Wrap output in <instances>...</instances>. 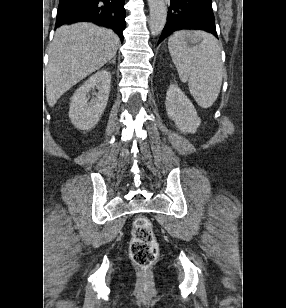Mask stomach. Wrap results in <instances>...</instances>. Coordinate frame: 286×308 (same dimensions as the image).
<instances>
[{"mask_svg": "<svg viewBox=\"0 0 286 308\" xmlns=\"http://www.w3.org/2000/svg\"><path fill=\"white\" fill-rule=\"evenodd\" d=\"M200 42V39L194 37V36H190L186 39V43L189 45H193V44H197Z\"/></svg>", "mask_w": 286, "mask_h": 308, "instance_id": "stomach-1", "label": "stomach"}]
</instances>
